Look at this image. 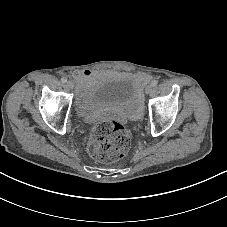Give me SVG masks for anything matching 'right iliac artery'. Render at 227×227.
Masks as SVG:
<instances>
[{
  "label": "right iliac artery",
  "instance_id": "1",
  "mask_svg": "<svg viewBox=\"0 0 227 227\" xmlns=\"http://www.w3.org/2000/svg\"><path fill=\"white\" fill-rule=\"evenodd\" d=\"M61 82H62V83H66V82H67V79H66V78H62V79H61Z\"/></svg>",
  "mask_w": 227,
  "mask_h": 227
}]
</instances>
